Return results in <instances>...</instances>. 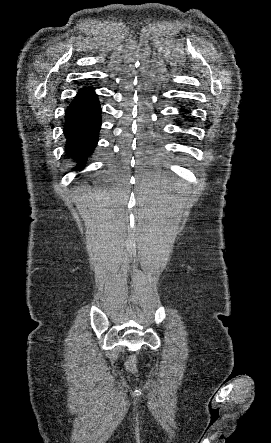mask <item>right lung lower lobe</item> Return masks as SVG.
I'll return each mask as SVG.
<instances>
[{
	"label": "right lung lower lobe",
	"instance_id": "98d812e1",
	"mask_svg": "<svg viewBox=\"0 0 271 443\" xmlns=\"http://www.w3.org/2000/svg\"><path fill=\"white\" fill-rule=\"evenodd\" d=\"M65 120L66 152L78 161L73 169L81 170L97 144L101 126V108L93 87L79 90L67 107Z\"/></svg>",
	"mask_w": 271,
	"mask_h": 443
}]
</instances>
